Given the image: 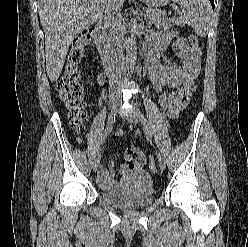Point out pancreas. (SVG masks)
I'll list each match as a JSON object with an SVG mask.
<instances>
[{"instance_id": "cf45deb5", "label": "pancreas", "mask_w": 248, "mask_h": 247, "mask_svg": "<svg viewBox=\"0 0 248 247\" xmlns=\"http://www.w3.org/2000/svg\"><path fill=\"white\" fill-rule=\"evenodd\" d=\"M148 24L151 25H155L158 29L160 28H169L171 22L175 23L177 25H182L180 21L176 20V19H168L165 16V13L162 11H150L148 14ZM112 41V39L110 38V42Z\"/></svg>"}]
</instances>
